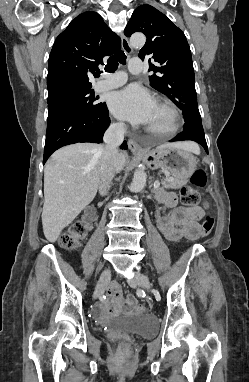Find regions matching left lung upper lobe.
Listing matches in <instances>:
<instances>
[{"label":"left lung upper lobe","mask_w":249,"mask_h":382,"mask_svg":"<svg viewBox=\"0 0 249 382\" xmlns=\"http://www.w3.org/2000/svg\"><path fill=\"white\" fill-rule=\"evenodd\" d=\"M134 32H143L147 38L139 57L148 60L149 71L154 72L150 85L182 110L185 123H201L192 56L184 33L147 4L135 9L124 30L128 37Z\"/></svg>","instance_id":"obj_1"}]
</instances>
